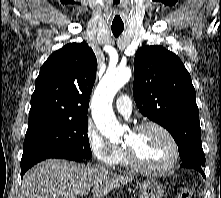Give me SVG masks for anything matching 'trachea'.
Here are the masks:
<instances>
[{"mask_svg": "<svg viewBox=\"0 0 221 198\" xmlns=\"http://www.w3.org/2000/svg\"><path fill=\"white\" fill-rule=\"evenodd\" d=\"M111 29H112L113 35L115 37H118L124 30V27H111Z\"/></svg>", "mask_w": 221, "mask_h": 198, "instance_id": "1", "label": "trachea"}]
</instances>
